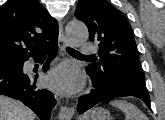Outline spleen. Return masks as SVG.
Listing matches in <instances>:
<instances>
[{"mask_svg": "<svg viewBox=\"0 0 165 120\" xmlns=\"http://www.w3.org/2000/svg\"><path fill=\"white\" fill-rule=\"evenodd\" d=\"M110 104L120 109L124 113L126 120H148V117L130 102L114 100Z\"/></svg>", "mask_w": 165, "mask_h": 120, "instance_id": "obj_1", "label": "spleen"}]
</instances>
